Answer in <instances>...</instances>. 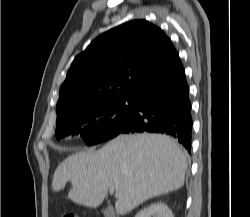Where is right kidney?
<instances>
[{"label": "right kidney", "instance_id": "right-kidney-1", "mask_svg": "<svg viewBox=\"0 0 250 217\" xmlns=\"http://www.w3.org/2000/svg\"><path fill=\"white\" fill-rule=\"evenodd\" d=\"M135 217H174V215L165 203L158 202L142 209Z\"/></svg>", "mask_w": 250, "mask_h": 217}]
</instances>
